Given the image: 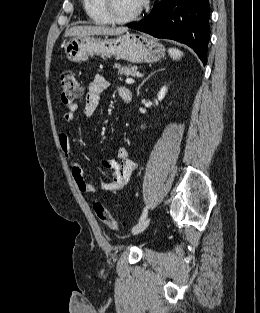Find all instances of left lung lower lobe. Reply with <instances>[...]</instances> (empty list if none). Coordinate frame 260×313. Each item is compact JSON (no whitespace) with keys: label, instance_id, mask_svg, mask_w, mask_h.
<instances>
[{"label":"left lung lower lobe","instance_id":"left-lung-lower-lobe-1","mask_svg":"<svg viewBox=\"0 0 260 313\" xmlns=\"http://www.w3.org/2000/svg\"><path fill=\"white\" fill-rule=\"evenodd\" d=\"M208 0H162L156 2L149 15L129 28L157 38L187 44L207 63L210 35Z\"/></svg>","mask_w":260,"mask_h":313}]
</instances>
